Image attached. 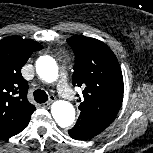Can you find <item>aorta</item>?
Segmentation results:
<instances>
[{
    "instance_id": "aorta-1",
    "label": "aorta",
    "mask_w": 153,
    "mask_h": 153,
    "mask_svg": "<svg viewBox=\"0 0 153 153\" xmlns=\"http://www.w3.org/2000/svg\"><path fill=\"white\" fill-rule=\"evenodd\" d=\"M36 71L39 77L46 82H53L58 77V65L49 56H41L36 61ZM51 113L56 123L62 128L71 126L75 119L73 105L64 100L54 102L51 106Z\"/></svg>"
}]
</instances>
